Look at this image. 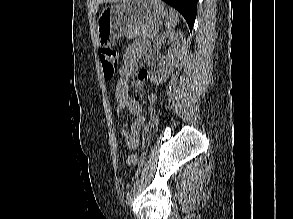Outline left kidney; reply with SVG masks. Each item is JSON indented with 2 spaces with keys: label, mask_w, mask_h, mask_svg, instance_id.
I'll return each mask as SVG.
<instances>
[{
  "label": "left kidney",
  "mask_w": 293,
  "mask_h": 219,
  "mask_svg": "<svg viewBox=\"0 0 293 219\" xmlns=\"http://www.w3.org/2000/svg\"><path fill=\"white\" fill-rule=\"evenodd\" d=\"M165 39L171 40L172 43L166 57L162 58L158 69L151 73L150 81L156 85L166 81L169 77L170 70L175 65L176 59L180 54V48L183 43V34L180 32H164L156 37L153 42V47L156 50H159Z\"/></svg>",
  "instance_id": "left-kidney-1"
}]
</instances>
